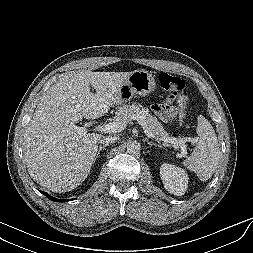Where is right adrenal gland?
<instances>
[{
  "label": "right adrenal gland",
  "instance_id": "right-adrenal-gland-1",
  "mask_svg": "<svg viewBox=\"0 0 253 253\" xmlns=\"http://www.w3.org/2000/svg\"><path fill=\"white\" fill-rule=\"evenodd\" d=\"M106 147H107V145L100 146V147L97 149L96 157L100 154V151H101V150H104Z\"/></svg>",
  "mask_w": 253,
  "mask_h": 253
}]
</instances>
